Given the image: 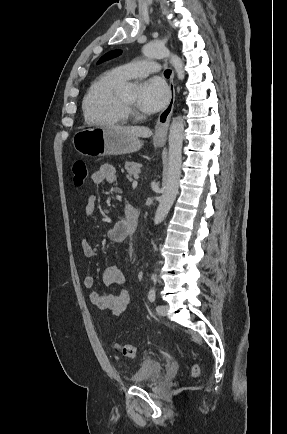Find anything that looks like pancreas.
Returning <instances> with one entry per match:
<instances>
[{
  "label": "pancreas",
  "mask_w": 287,
  "mask_h": 434,
  "mask_svg": "<svg viewBox=\"0 0 287 434\" xmlns=\"http://www.w3.org/2000/svg\"><path fill=\"white\" fill-rule=\"evenodd\" d=\"M142 165L135 162H125V169L127 171V179L132 180L133 177H137L141 172Z\"/></svg>",
  "instance_id": "1"
}]
</instances>
